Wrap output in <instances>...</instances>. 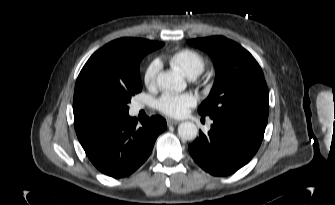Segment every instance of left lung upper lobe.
I'll return each mask as SVG.
<instances>
[{
    "instance_id": "obj_1",
    "label": "left lung upper lobe",
    "mask_w": 335,
    "mask_h": 205,
    "mask_svg": "<svg viewBox=\"0 0 335 205\" xmlns=\"http://www.w3.org/2000/svg\"><path fill=\"white\" fill-rule=\"evenodd\" d=\"M187 43L206 51L216 70L212 90L199 106L198 113L203 117L242 118L266 127L269 92L262 69L254 57L223 36L197 38Z\"/></svg>"
}]
</instances>
